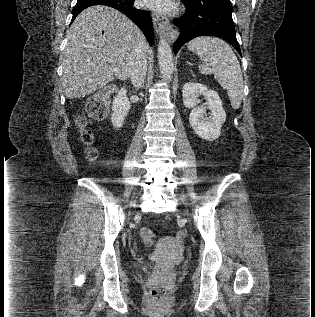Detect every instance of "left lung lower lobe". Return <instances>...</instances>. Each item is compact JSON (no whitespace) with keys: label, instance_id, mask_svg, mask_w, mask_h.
<instances>
[{"label":"left lung lower lobe","instance_id":"obj_1","mask_svg":"<svg viewBox=\"0 0 315 317\" xmlns=\"http://www.w3.org/2000/svg\"><path fill=\"white\" fill-rule=\"evenodd\" d=\"M183 2L187 7L185 15L174 19V24L180 28V36L173 45L175 54L186 42L198 36L208 35L226 40L241 55L235 35L232 8L208 2Z\"/></svg>","mask_w":315,"mask_h":317}]
</instances>
